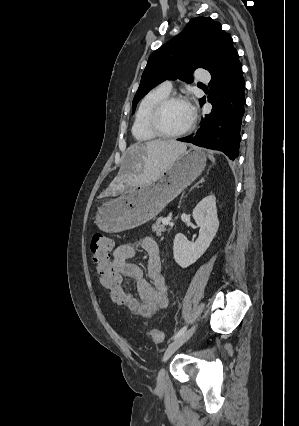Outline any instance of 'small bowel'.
<instances>
[{
	"mask_svg": "<svg viewBox=\"0 0 299 426\" xmlns=\"http://www.w3.org/2000/svg\"><path fill=\"white\" fill-rule=\"evenodd\" d=\"M139 243L148 256L147 279L142 269L131 262L136 255V248L132 243H121L115 247L112 266L122 278L135 285L139 295V298H136L125 286L126 297L123 305L134 315L150 318L168 305V286L162 273L158 243L151 237H144Z\"/></svg>",
	"mask_w": 299,
	"mask_h": 426,
	"instance_id": "obj_1",
	"label": "small bowel"
}]
</instances>
